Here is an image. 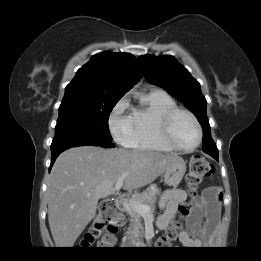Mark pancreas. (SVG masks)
Instances as JSON below:
<instances>
[{
  "mask_svg": "<svg viewBox=\"0 0 261 261\" xmlns=\"http://www.w3.org/2000/svg\"><path fill=\"white\" fill-rule=\"evenodd\" d=\"M160 194V190L156 185L148 187L141 194L137 195L135 198L130 199L127 203L123 205V210L130 216V225L126 232V240L133 245L141 243L143 236V226L141 224L142 214L139 213L135 204H143L150 207V213L155 208V203L157 201V196Z\"/></svg>",
  "mask_w": 261,
  "mask_h": 261,
  "instance_id": "1",
  "label": "pancreas"
}]
</instances>
